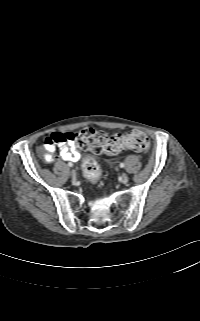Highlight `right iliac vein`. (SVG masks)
I'll return each mask as SVG.
<instances>
[{
	"mask_svg": "<svg viewBox=\"0 0 200 321\" xmlns=\"http://www.w3.org/2000/svg\"><path fill=\"white\" fill-rule=\"evenodd\" d=\"M70 174H71V177L73 178V179H75L76 178V171L75 170H71L70 171Z\"/></svg>",
	"mask_w": 200,
	"mask_h": 321,
	"instance_id": "63e3f726",
	"label": "right iliac vein"
}]
</instances>
